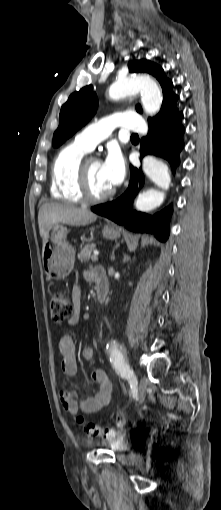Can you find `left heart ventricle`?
<instances>
[{
	"label": "left heart ventricle",
	"instance_id": "1",
	"mask_svg": "<svg viewBox=\"0 0 221 510\" xmlns=\"http://www.w3.org/2000/svg\"><path fill=\"white\" fill-rule=\"evenodd\" d=\"M89 189L92 195L100 196L112 190L101 171V162L91 160L88 164Z\"/></svg>",
	"mask_w": 221,
	"mask_h": 510
}]
</instances>
